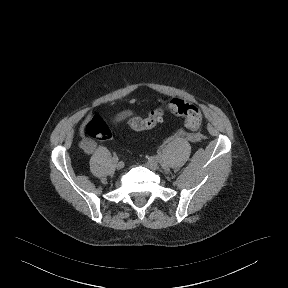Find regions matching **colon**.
<instances>
[{
    "label": "colon",
    "mask_w": 288,
    "mask_h": 288,
    "mask_svg": "<svg viewBox=\"0 0 288 288\" xmlns=\"http://www.w3.org/2000/svg\"><path fill=\"white\" fill-rule=\"evenodd\" d=\"M167 109L172 113L182 117L185 125L189 130L195 131L200 127L202 122V112L198 106L186 102L180 98H172L163 103L161 106L149 112L146 118H130L127 122L128 127L134 131H142L159 123ZM86 135L99 142H107L112 138V132L109 126L100 116L91 120L85 125ZM87 149H92V145L87 143Z\"/></svg>",
    "instance_id": "5ec220e1"
}]
</instances>
